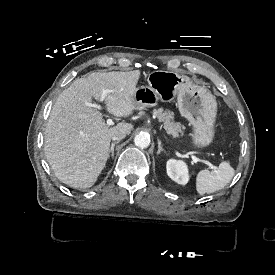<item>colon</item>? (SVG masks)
Masks as SVG:
<instances>
[{
  "instance_id": "obj_1",
  "label": "colon",
  "mask_w": 275,
  "mask_h": 275,
  "mask_svg": "<svg viewBox=\"0 0 275 275\" xmlns=\"http://www.w3.org/2000/svg\"><path fill=\"white\" fill-rule=\"evenodd\" d=\"M226 107H229V104H226ZM229 113H232V110H229Z\"/></svg>"
}]
</instances>
